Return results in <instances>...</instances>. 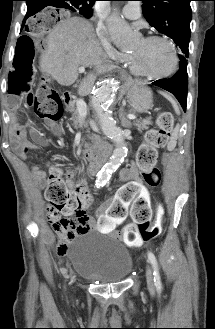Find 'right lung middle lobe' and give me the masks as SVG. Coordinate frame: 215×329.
I'll use <instances>...</instances> for the list:
<instances>
[{
    "label": "right lung middle lobe",
    "instance_id": "obj_1",
    "mask_svg": "<svg viewBox=\"0 0 215 329\" xmlns=\"http://www.w3.org/2000/svg\"><path fill=\"white\" fill-rule=\"evenodd\" d=\"M92 6L93 5L87 4L85 1L82 0H67L65 2L64 8L74 12H78L84 17L89 18L91 17L93 12Z\"/></svg>",
    "mask_w": 215,
    "mask_h": 329
}]
</instances>
